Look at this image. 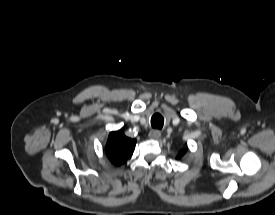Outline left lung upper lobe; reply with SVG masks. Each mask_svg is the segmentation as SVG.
Listing matches in <instances>:
<instances>
[{
	"label": "left lung upper lobe",
	"mask_w": 275,
	"mask_h": 215,
	"mask_svg": "<svg viewBox=\"0 0 275 215\" xmlns=\"http://www.w3.org/2000/svg\"><path fill=\"white\" fill-rule=\"evenodd\" d=\"M184 153H185V151H181V152L179 153V155H178V158H180L181 156H183Z\"/></svg>",
	"instance_id": "left-lung-upper-lobe-1"
}]
</instances>
